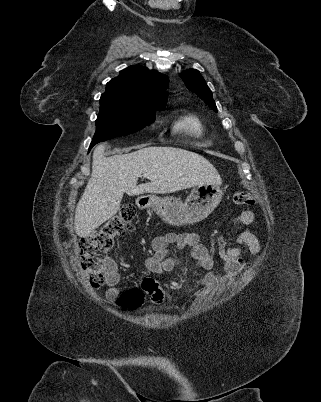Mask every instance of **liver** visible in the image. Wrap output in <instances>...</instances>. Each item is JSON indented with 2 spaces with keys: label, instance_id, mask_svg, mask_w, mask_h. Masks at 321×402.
<instances>
[{
  "label": "liver",
  "instance_id": "obj_1",
  "mask_svg": "<svg viewBox=\"0 0 321 402\" xmlns=\"http://www.w3.org/2000/svg\"><path fill=\"white\" fill-rule=\"evenodd\" d=\"M105 146L93 153L92 174L79 200L74 218L75 232L87 237L119 210L124 193H172L187 188L216 183L221 178L203 156L175 147H145L111 157L104 156ZM155 178L137 185L144 174Z\"/></svg>",
  "mask_w": 321,
  "mask_h": 402
}]
</instances>
